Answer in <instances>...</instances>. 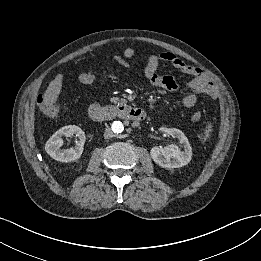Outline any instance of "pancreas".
I'll return each mask as SVG.
<instances>
[{"instance_id": "cf45deb5", "label": "pancreas", "mask_w": 261, "mask_h": 261, "mask_svg": "<svg viewBox=\"0 0 261 261\" xmlns=\"http://www.w3.org/2000/svg\"><path fill=\"white\" fill-rule=\"evenodd\" d=\"M110 101L112 102V103H114V104H123L125 101L124 100H121L120 98H118V97H112L111 99H110Z\"/></svg>"}]
</instances>
